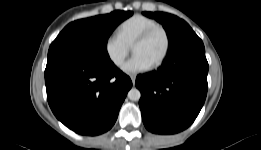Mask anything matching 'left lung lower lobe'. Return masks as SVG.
Wrapping results in <instances>:
<instances>
[{"label":"left lung lower lobe","instance_id":"obj_1","mask_svg":"<svg viewBox=\"0 0 261 150\" xmlns=\"http://www.w3.org/2000/svg\"><path fill=\"white\" fill-rule=\"evenodd\" d=\"M208 62L202 40L193 32L169 49L157 71L138 75L139 106L145 127L156 134L188 128L207 94Z\"/></svg>","mask_w":261,"mask_h":150}]
</instances>
